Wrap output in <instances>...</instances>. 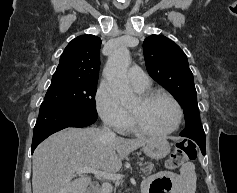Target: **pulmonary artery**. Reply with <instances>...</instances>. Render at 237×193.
<instances>
[{
  "instance_id": "1",
  "label": "pulmonary artery",
  "mask_w": 237,
  "mask_h": 193,
  "mask_svg": "<svg viewBox=\"0 0 237 193\" xmlns=\"http://www.w3.org/2000/svg\"><path fill=\"white\" fill-rule=\"evenodd\" d=\"M129 82L138 91H144L150 86L149 77L138 67H132L127 74Z\"/></svg>"
}]
</instances>
